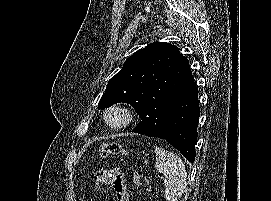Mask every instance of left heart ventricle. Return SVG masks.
<instances>
[{"label": "left heart ventricle", "mask_w": 271, "mask_h": 201, "mask_svg": "<svg viewBox=\"0 0 271 201\" xmlns=\"http://www.w3.org/2000/svg\"><path fill=\"white\" fill-rule=\"evenodd\" d=\"M109 119H110V122H112L113 124H118L119 122H121L122 117L121 115L117 113H113L110 115Z\"/></svg>", "instance_id": "left-heart-ventricle-1"}]
</instances>
